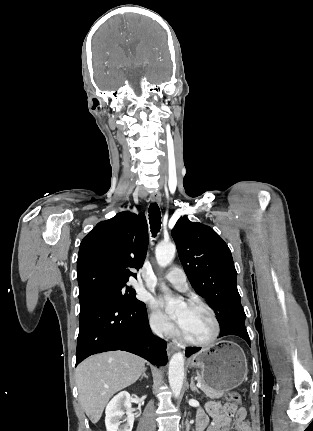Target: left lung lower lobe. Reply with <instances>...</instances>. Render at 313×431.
Masks as SVG:
<instances>
[{
	"mask_svg": "<svg viewBox=\"0 0 313 431\" xmlns=\"http://www.w3.org/2000/svg\"><path fill=\"white\" fill-rule=\"evenodd\" d=\"M220 330H221L219 335L220 337L235 335V336L241 337L250 345V338L245 327V322H235ZM199 350L200 348H197V347H188L185 350V354L187 357H189L190 355L198 352Z\"/></svg>",
	"mask_w": 313,
	"mask_h": 431,
	"instance_id": "obj_1",
	"label": "left lung lower lobe"
}]
</instances>
